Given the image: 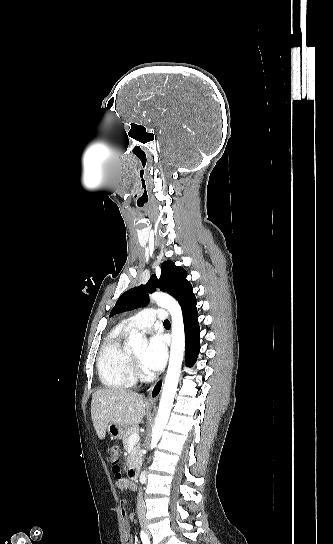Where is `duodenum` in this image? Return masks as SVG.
Segmentation results:
<instances>
[{
    "mask_svg": "<svg viewBox=\"0 0 333 544\" xmlns=\"http://www.w3.org/2000/svg\"><path fill=\"white\" fill-rule=\"evenodd\" d=\"M128 476L130 479L132 480H136L139 476V469L137 466L135 465H131L129 468H128Z\"/></svg>",
    "mask_w": 333,
    "mask_h": 544,
    "instance_id": "1",
    "label": "duodenum"
}]
</instances>
